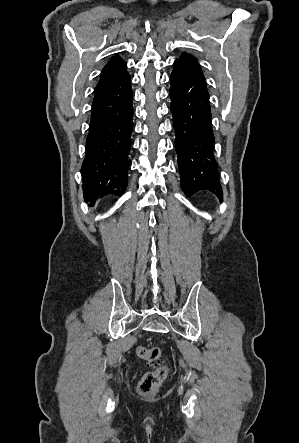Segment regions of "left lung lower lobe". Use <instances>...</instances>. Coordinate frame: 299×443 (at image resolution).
Masks as SVG:
<instances>
[{"label": "left lung lower lobe", "instance_id": "obj_1", "mask_svg": "<svg viewBox=\"0 0 299 443\" xmlns=\"http://www.w3.org/2000/svg\"><path fill=\"white\" fill-rule=\"evenodd\" d=\"M170 81L182 189L188 197L207 190L221 199L219 173L212 155L214 136L205 78L187 63L176 60Z\"/></svg>", "mask_w": 299, "mask_h": 443}]
</instances>
